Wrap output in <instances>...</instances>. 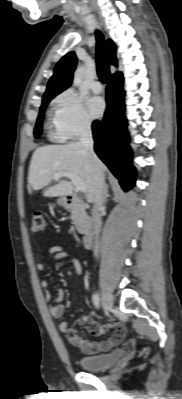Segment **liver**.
I'll return each instance as SVG.
<instances>
[{"mask_svg":"<svg viewBox=\"0 0 182 399\" xmlns=\"http://www.w3.org/2000/svg\"><path fill=\"white\" fill-rule=\"evenodd\" d=\"M96 170L105 176L106 166L100 160L97 164L94 163L79 142L39 147L31 159L28 191L32 194L33 191L42 189L52 182L54 173L65 171L75 174L84 182L87 201L93 202ZM73 190L71 182L59 180L44 192V196L64 197L71 195Z\"/></svg>","mask_w":182,"mask_h":399,"instance_id":"1","label":"liver"}]
</instances>
